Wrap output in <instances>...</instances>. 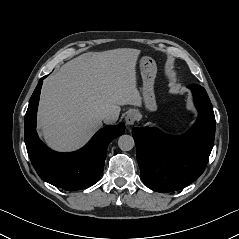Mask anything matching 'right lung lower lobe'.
Wrapping results in <instances>:
<instances>
[{"label": "right lung lower lobe", "mask_w": 239, "mask_h": 239, "mask_svg": "<svg viewBox=\"0 0 239 239\" xmlns=\"http://www.w3.org/2000/svg\"><path fill=\"white\" fill-rule=\"evenodd\" d=\"M40 79L33 92L25 115V144L37 174L44 181L66 190H81L95 184L103 171L108 144L125 131L124 123L99 130L82 149L58 153L45 146L36 132V114Z\"/></svg>", "instance_id": "1"}]
</instances>
